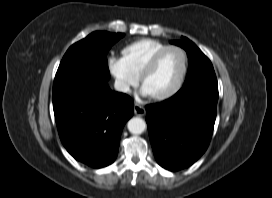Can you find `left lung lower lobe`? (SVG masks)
<instances>
[{
	"instance_id": "obj_1",
	"label": "left lung lower lobe",
	"mask_w": 272,
	"mask_h": 198,
	"mask_svg": "<svg viewBox=\"0 0 272 198\" xmlns=\"http://www.w3.org/2000/svg\"><path fill=\"white\" fill-rule=\"evenodd\" d=\"M215 78L185 84L173 97L147 105L146 122L160 166L177 171L192 165L208 148L217 112Z\"/></svg>"
}]
</instances>
